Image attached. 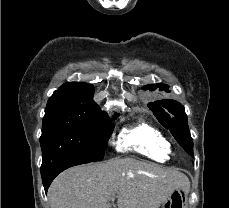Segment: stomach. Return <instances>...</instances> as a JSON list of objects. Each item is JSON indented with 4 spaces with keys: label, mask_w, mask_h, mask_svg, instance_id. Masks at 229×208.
<instances>
[{
    "label": "stomach",
    "mask_w": 229,
    "mask_h": 208,
    "mask_svg": "<svg viewBox=\"0 0 229 208\" xmlns=\"http://www.w3.org/2000/svg\"><path fill=\"white\" fill-rule=\"evenodd\" d=\"M189 190L174 188L171 194L165 196L161 208H188Z\"/></svg>",
    "instance_id": "0dacf381"
}]
</instances>
